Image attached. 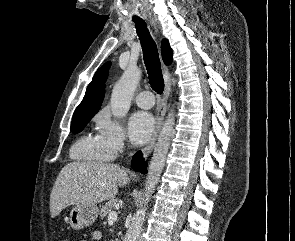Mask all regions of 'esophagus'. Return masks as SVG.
I'll list each match as a JSON object with an SVG mask.
<instances>
[{
  "instance_id": "1",
  "label": "esophagus",
  "mask_w": 295,
  "mask_h": 241,
  "mask_svg": "<svg viewBox=\"0 0 295 241\" xmlns=\"http://www.w3.org/2000/svg\"><path fill=\"white\" fill-rule=\"evenodd\" d=\"M151 24L153 25L155 31L158 32V28L154 20H151ZM163 74H164V81H165V89H164L161 102L159 103L157 108L156 128H155L154 134L150 142L142 150L144 158H147L150 155V153L152 152L155 146V143L158 138V134L163 124L166 107H167V101L171 92V78H170V74L168 73V68L165 65L163 66Z\"/></svg>"
}]
</instances>
